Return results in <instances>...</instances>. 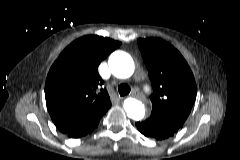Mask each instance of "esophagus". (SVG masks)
Wrapping results in <instances>:
<instances>
[{
    "mask_svg": "<svg viewBox=\"0 0 240 160\" xmlns=\"http://www.w3.org/2000/svg\"><path fill=\"white\" fill-rule=\"evenodd\" d=\"M131 97H136L138 98L140 96L139 92L137 90H134L131 94H130Z\"/></svg>",
    "mask_w": 240,
    "mask_h": 160,
    "instance_id": "1",
    "label": "esophagus"
}]
</instances>
